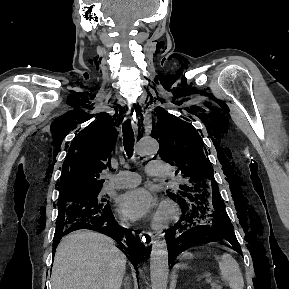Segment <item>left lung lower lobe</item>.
I'll list each match as a JSON object with an SVG mask.
<instances>
[{"mask_svg": "<svg viewBox=\"0 0 289 289\" xmlns=\"http://www.w3.org/2000/svg\"><path fill=\"white\" fill-rule=\"evenodd\" d=\"M177 202L181 207L182 216L166 235L170 262L178 254L192 247L193 239L203 236L224 238L241 254L233 225L220 197L214 196L208 200L202 195H195ZM209 217H212V222L207 221Z\"/></svg>", "mask_w": 289, "mask_h": 289, "instance_id": "obj_1", "label": "left lung lower lobe"}]
</instances>
